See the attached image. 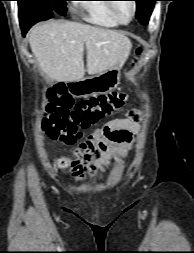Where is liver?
<instances>
[{"mask_svg": "<svg viewBox=\"0 0 194 253\" xmlns=\"http://www.w3.org/2000/svg\"><path fill=\"white\" fill-rule=\"evenodd\" d=\"M29 43L48 78L64 82L83 79L84 45L90 75L124 63L132 47L129 38L115 30L58 20L35 25L29 32Z\"/></svg>", "mask_w": 194, "mask_h": 253, "instance_id": "6515ba94", "label": "liver"}]
</instances>
